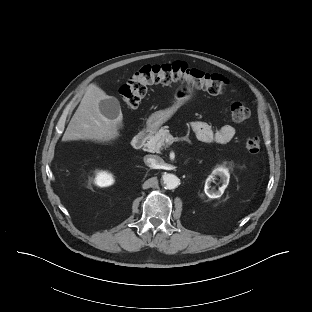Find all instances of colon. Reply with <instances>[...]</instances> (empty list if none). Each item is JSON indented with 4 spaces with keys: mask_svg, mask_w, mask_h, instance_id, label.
Here are the masks:
<instances>
[{
    "mask_svg": "<svg viewBox=\"0 0 312 312\" xmlns=\"http://www.w3.org/2000/svg\"><path fill=\"white\" fill-rule=\"evenodd\" d=\"M184 82L207 91L209 94H221L227 79L221 74L207 73L202 70L189 67L183 62H172L166 64L145 65L137 70L130 79L119 89V95L128 109H136L147 89L153 84H172ZM231 118L235 122H243L249 118V108L241 103L235 102L230 109ZM245 149L251 153H258L260 140L257 137H247L244 140Z\"/></svg>",
    "mask_w": 312,
    "mask_h": 312,
    "instance_id": "5ec220e1",
    "label": "colon"
}]
</instances>
